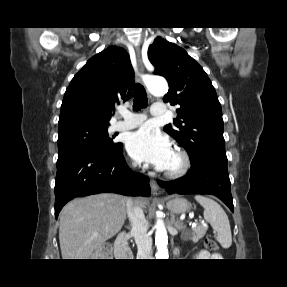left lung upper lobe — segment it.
Returning a JSON list of instances; mask_svg holds the SVG:
<instances>
[{
  "label": "left lung upper lobe",
  "instance_id": "5c2ea615",
  "mask_svg": "<svg viewBox=\"0 0 287 287\" xmlns=\"http://www.w3.org/2000/svg\"><path fill=\"white\" fill-rule=\"evenodd\" d=\"M154 73L169 82L163 101L180 106L164 131L187 151L191 171L205 167L227 170L221 105L203 68L174 43L157 37L148 49Z\"/></svg>",
  "mask_w": 287,
  "mask_h": 287
}]
</instances>
